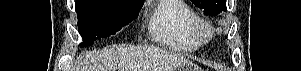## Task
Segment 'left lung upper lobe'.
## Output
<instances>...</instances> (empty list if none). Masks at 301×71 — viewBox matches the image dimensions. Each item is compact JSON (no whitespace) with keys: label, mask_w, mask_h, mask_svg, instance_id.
Listing matches in <instances>:
<instances>
[{"label":"left lung upper lobe","mask_w":301,"mask_h":71,"mask_svg":"<svg viewBox=\"0 0 301 71\" xmlns=\"http://www.w3.org/2000/svg\"><path fill=\"white\" fill-rule=\"evenodd\" d=\"M197 7L204 10L209 16H216L222 11H226V0H191Z\"/></svg>","instance_id":"5c2ea615"}]
</instances>
